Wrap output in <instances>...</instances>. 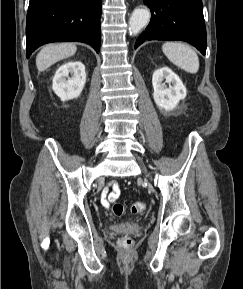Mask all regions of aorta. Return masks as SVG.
I'll list each match as a JSON object with an SVG mask.
<instances>
[{"label":"aorta","instance_id":"1","mask_svg":"<svg viewBox=\"0 0 243 289\" xmlns=\"http://www.w3.org/2000/svg\"><path fill=\"white\" fill-rule=\"evenodd\" d=\"M150 20V11L145 8H138L133 11L129 20L130 35H137Z\"/></svg>","mask_w":243,"mask_h":289}]
</instances>
